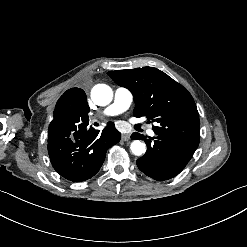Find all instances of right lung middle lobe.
Wrapping results in <instances>:
<instances>
[{"instance_id":"obj_1","label":"right lung middle lobe","mask_w":247,"mask_h":247,"mask_svg":"<svg viewBox=\"0 0 247 247\" xmlns=\"http://www.w3.org/2000/svg\"><path fill=\"white\" fill-rule=\"evenodd\" d=\"M90 108L85 92L79 88L67 90L57 101L54 119L48 128V136H61L74 126L88 119Z\"/></svg>"}]
</instances>
